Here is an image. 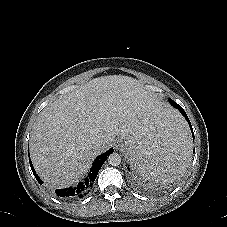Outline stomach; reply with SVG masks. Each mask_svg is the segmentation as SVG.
Segmentation results:
<instances>
[{"mask_svg": "<svg viewBox=\"0 0 227 227\" xmlns=\"http://www.w3.org/2000/svg\"><path fill=\"white\" fill-rule=\"evenodd\" d=\"M177 115H178V114H177ZM178 116H179V115H178ZM145 117H146V116H145ZM145 117H144V118H145ZM144 118H143V119H144ZM143 119H142V120H143ZM182 121H183V120H182ZM125 144H126V141H125ZM125 149H126V148H125ZM126 156H127L128 160H129L130 162H132V158L127 154V152H126Z\"/></svg>", "mask_w": 227, "mask_h": 227, "instance_id": "obj_1", "label": "stomach"}]
</instances>
